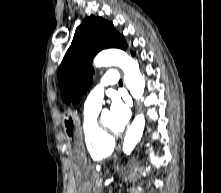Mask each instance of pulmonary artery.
<instances>
[{
    "label": "pulmonary artery",
    "instance_id": "e3ab8cb5",
    "mask_svg": "<svg viewBox=\"0 0 221 193\" xmlns=\"http://www.w3.org/2000/svg\"><path fill=\"white\" fill-rule=\"evenodd\" d=\"M118 81V72L114 69L108 70L104 74L101 84L96 86L87 96L84 103V111L89 112L99 110L104 97V88L109 85H115Z\"/></svg>",
    "mask_w": 221,
    "mask_h": 193
}]
</instances>
